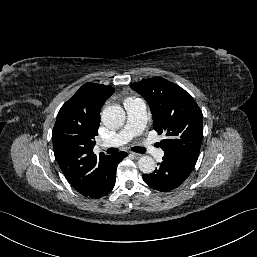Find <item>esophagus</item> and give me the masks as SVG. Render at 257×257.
<instances>
[{
  "label": "esophagus",
  "instance_id": "esophagus-1",
  "mask_svg": "<svg viewBox=\"0 0 257 257\" xmlns=\"http://www.w3.org/2000/svg\"><path fill=\"white\" fill-rule=\"evenodd\" d=\"M135 159H139L142 155L141 154H138V153H135V152H131L130 153Z\"/></svg>",
  "mask_w": 257,
  "mask_h": 257
}]
</instances>
